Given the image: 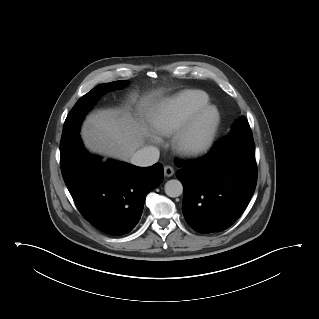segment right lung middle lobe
<instances>
[{
	"instance_id": "obj_1",
	"label": "right lung middle lobe",
	"mask_w": 319,
	"mask_h": 319,
	"mask_svg": "<svg viewBox=\"0 0 319 319\" xmlns=\"http://www.w3.org/2000/svg\"><path fill=\"white\" fill-rule=\"evenodd\" d=\"M127 84L126 81H115L96 86L89 93L81 97L68 114L63 128L60 150L67 147L79 134L80 124L86 112L106 92L119 89Z\"/></svg>"
}]
</instances>
